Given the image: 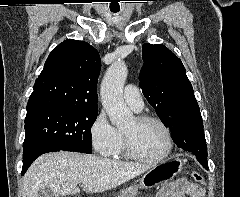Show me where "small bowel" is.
<instances>
[{
  "instance_id": "obj_1",
  "label": "small bowel",
  "mask_w": 240,
  "mask_h": 197,
  "mask_svg": "<svg viewBox=\"0 0 240 197\" xmlns=\"http://www.w3.org/2000/svg\"><path fill=\"white\" fill-rule=\"evenodd\" d=\"M201 186L187 181L174 183L165 190V197H204Z\"/></svg>"
}]
</instances>
